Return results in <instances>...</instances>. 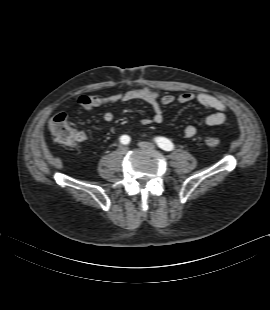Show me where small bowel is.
<instances>
[{"label":"small bowel","instance_id":"c3829d8e","mask_svg":"<svg viewBox=\"0 0 270 310\" xmlns=\"http://www.w3.org/2000/svg\"><path fill=\"white\" fill-rule=\"evenodd\" d=\"M140 100L152 108L153 115L151 118H143L141 123L143 125L161 124L164 120L163 108L173 104H185L196 101L209 110H215V113L208 114L202 119V123L208 126L227 125L228 120L226 112L228 105L221 99L207 93H192L185 92L178 96L172 94L161 95L157 91L144 87L139 89H132L123 93H116L107 97L80 94L76 98L77 104L84 110L90 111L96 108L107 107L119 102H129ZM114 119V114L111 111H105L102 114V121L110 123ZM103 125H95L92 130L99 131ZM79 140L81 143L86 140L87 134L84 131H78ZM183 134L187 138H193L197 134V128L193 125H187L183 129Z\"/></svg>","mask_w":270,"mask_h":310}]
</instances>
